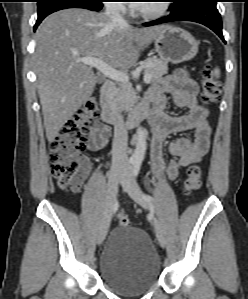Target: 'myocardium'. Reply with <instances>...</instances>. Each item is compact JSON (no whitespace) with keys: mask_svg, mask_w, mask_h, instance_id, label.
<instances>
[{"mask_svg":"<svg viewBox=\"0 0 248 299\" xmlns=\"http://www.w3.org/2000/svg\"><path fill=\"white\" fill-rule=\"evenodd\" d=\"M159 2L156 6L147 10L141 9L142 6H140L136 9V12L140 17L147 20L159 19L166 15L170 9V3L167 0H160Z\"/></svg>","mask_w":248,"mask_h":299,"instance_id":"1","label":"myocardium"}]
</instances>
